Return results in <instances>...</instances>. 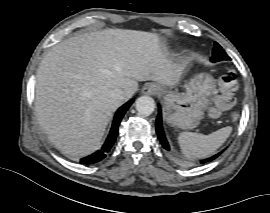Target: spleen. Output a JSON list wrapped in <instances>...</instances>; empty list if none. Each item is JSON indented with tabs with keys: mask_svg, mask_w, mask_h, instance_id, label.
Wrapping results in <instances>:
<instances>
[{
	"mask_svg": "<svg viewBox=\"0 0 270 213\" xmlns=\"http://www.w3.org/2000/svg\"><path fill=\"white\" fill-rule=\"evenodd\" d=\"M232 127H223L209 135L181 132L178 142L182 153L188 158H205L213 154L229 137Z\"/></svg>",
	"mask_w": 270,
	"mask_h": 213,
	"instance_id": "3e777b00",
	"label": "spleen"
}]
</instances>
